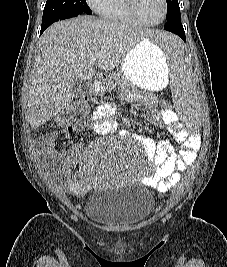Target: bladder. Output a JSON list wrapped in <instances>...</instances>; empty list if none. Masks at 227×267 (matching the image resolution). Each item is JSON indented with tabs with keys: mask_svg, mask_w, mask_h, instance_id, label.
<instances>
[{
	"mask_svg": "<svg viewBox=\"0 0 227 267\" xmlns=\"http://www.w3.org/2000/svg\"><path fill=\"white\" fill-rule=\"evenodd\" d=\"M152 194L137 184L117 188H95L89 194L85 211L88 218L110 228L132 227L153 212Z\"/></svg>",
	"mask_w": 227,
	"mask_h": 267,
	"instance_id": "obj_1",
	"label": "bladder"
}]
</instances>
